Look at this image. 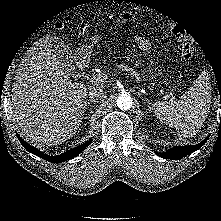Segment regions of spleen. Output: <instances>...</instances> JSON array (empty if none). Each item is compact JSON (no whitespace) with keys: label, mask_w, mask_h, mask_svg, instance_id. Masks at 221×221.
<instances>
[{"label":"spleen","mask_w":221,"mask_h":221,"mask_svg":"<svg viewBox=\"0 0 221 221\" xmlns=\"http://www.w3.org/2000/svg\"><path fill=\"white\" fill-rule=\"evenodd\" d=\"M210 103L209 77L202 72L181 99L157 102L153 105V110L160 121L177 130L180 138H189L201 129L208 115Z\"/></svg>","instance_id":"spleen-1"}]
</instances>
